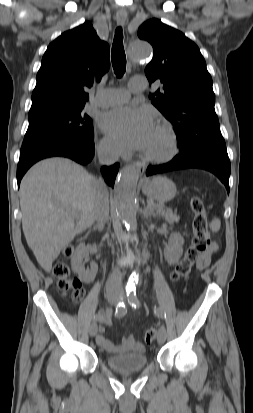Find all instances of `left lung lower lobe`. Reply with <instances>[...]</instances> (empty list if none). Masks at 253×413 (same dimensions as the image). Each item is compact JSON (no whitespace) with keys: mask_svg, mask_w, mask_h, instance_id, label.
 Listing matches in <instances>:
<instances>
[{"mask_svg":"<svg viewBox=\"0 0 253 413\" xmlns=\"http://www.w3.org/2000/svg\"><path fill=\"white\" fill-rule=\"evenodd\" d=\"M218 127L220 126L215 123L200 126L199 135L189 136L186 139V143L192 141L191 146L178 142V155L169 163L149 166L146 175L187 168L204 169L215 174L224 183L229 193L230 160L225 141L222 136L212 134Z\"/></svg>","mask_w":253,"mask_h":413,"instance_id":"1","label":"left lung lower lobe"}]
</instances>
